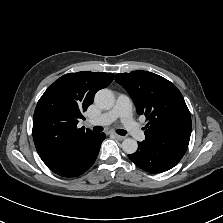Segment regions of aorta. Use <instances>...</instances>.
Returning a JSON list of instances; mask_svg holds the SVG:
<instances>
[{
    "instance_id": "762f6f07",
    "label": "aorta",
    "mask_w": 223,
    "mask_h": 223,
    "mask_svg": "<svg viewBox=\"0 0 223 223\" xmlns=\"http://www.w3.org/2000/svg\"><path fill=\"white\" fill-rule=\"evenodd\" d=\"M115 102L114 94L111 90L105 88L99 90L94 98V103L103 110H109ZM137 141L132 138H126L122 142V149L127 154H133L137 151Z\"/></svg>"
}]
</instances>
